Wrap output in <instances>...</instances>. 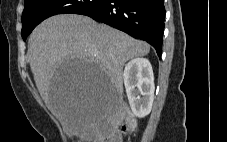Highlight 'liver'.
Wrapping results in <instances>:
<instances>
[{"label":"liver","instance_id":"obj_1","mask_svg":"<svg viewBox=\"0 0 227 142\" xmlns=\"http://www.w3.org/2000/svg\"><path fill=\"white\" fill-rule=\"evenodd\" d=\"M149 51L146 42L77 14L44 20L29 39L30 68L42 99L69 132L82 135L122 101L125 63ZM60 61H93L101 78H92L95 88H60V81H52Z\"/></svg>","mask_w":227,"mask_h":142}]
</instances>
